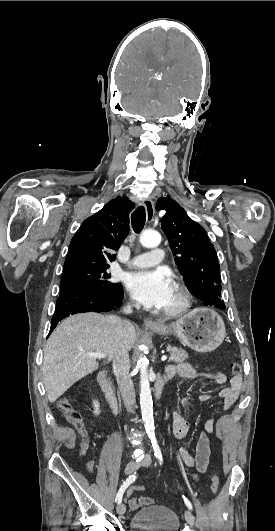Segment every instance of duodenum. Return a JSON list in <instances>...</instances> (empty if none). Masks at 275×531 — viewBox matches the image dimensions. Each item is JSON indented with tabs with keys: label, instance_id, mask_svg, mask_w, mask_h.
I'll use <instances>...</instances> for the list:
<instances>
[{
	"label": "duodenum",
	"instance_id": "duodenum-1",
	"mask_svg": "<svg viewBox=\"0 0 275 531\" xmlns=\"http://www.w3.org/2000/svg\"><path fill=\"white\" fill-rule=\"evenodd\" d=\"M169 378H171L170 375L168 373H164L161 376H157L156 379L154 380L153 395H154L155 400L160 399L162 392H163L164 384L166 380ZM97 381L104 392V395L108 401V404L110 405L111 409L115 411L118 407V401H117V396L115 393L113 383L111 382L109 378V372L107 369H104L99 372Z\"/></svg>",
	"mask_w": 275,
	"mask_h": 531
}]
</instances>
